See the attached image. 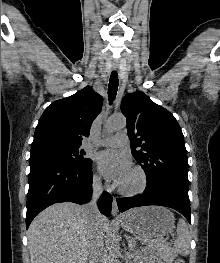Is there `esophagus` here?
Masks as SVG:
<instances>
[{"instance_id": "1", "label": "esophagus", "mask_w": 220, "mask_h": 263, "mask_svg": "<svg viewBox=\"0 0 220 263\" xmlns=\"http://www.w3.org/2000/svg\"><path fill=\"white\" fill-rule=\"evenodd\" d=\"M117 68H118L117 65L113 66L114 70H117ZM112 215L115 217L119 216V209L115 197H113V201H112Z\"/></svg>"}]
</instances>
